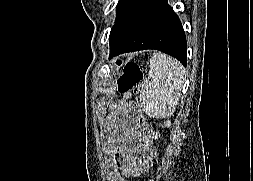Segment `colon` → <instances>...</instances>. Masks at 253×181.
Instances as JSON below:
<instances>
[{"label":"colon","mask_w":253,"mask_h":181,"mask_svg":"<svg viewBox=\"0 0 253 181\" xmlns=\"http://www.w3.org/2000/svg\"><path fill=\"white\" fill-rule=\"evenodd\" d=\"M142 79L141 66L136 62H128L125 64L123 74L118 81V88L121 92H138Z\"/></svg>","instance_id":"1"}]
</instances>
